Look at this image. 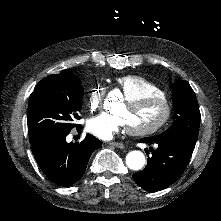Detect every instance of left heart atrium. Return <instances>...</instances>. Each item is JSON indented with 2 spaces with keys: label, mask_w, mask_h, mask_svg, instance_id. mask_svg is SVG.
I'll list each match as a JSON object with an SVG mask.
<instances>
[{
  "label": "left heart atrium",
  "mask_w": 221,
  "mask_h": 221,
  "mask_svg": "<svg viewBox=\"0 0 221 221\" xmlns=\"http://www.w3.org/2000/svg\"><path fill=\"white\" fill-rule=\"evenodd\" d=\"M123 128L122 118L114 112L104 113L101 117L93 118L88 122V130L94 135L111 140Z\"/></svg>",
  "instance_id": "left-heart-atrium-1"
}]
</instances>
